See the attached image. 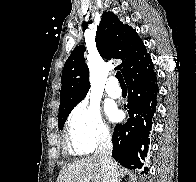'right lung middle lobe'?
I'll use <instances>...</instances> for the list:
<instances>
[{
	"instance_id": "dd1d6c3e",
	"label": "right lung middle lobe",
	"mask_w": 196,
	"mask_h": 182,
	"mask_svg": "<svg viewBox=\"0 0 196 182\" xmlns=\"http://www.w3.org/2000/svg\"><path fill=\"white\" fill-rule=\"evenodd\" d=\"M69 113H70V112H69ZM69 113H67V114H65V115H62V116L58 117V128H59L60 130L63 129V126H64V124H65V121H66L67 116L69 115Z\"/></svg>"
}]
</instances>
